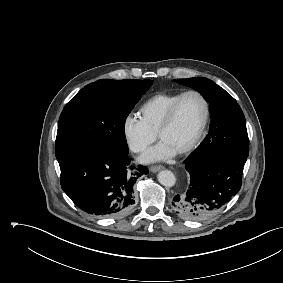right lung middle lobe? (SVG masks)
I'll list each match as a JSON object with an SVG mask.
<instances>
[{
	"instance_id": "obj_1",
	"label": "right lung middle lobe",
	"mask_w": 283,
	"mask_h": 283,
	"mask_svg": "<svg viewBox=\"0 0 283 283\" xmlns=\"http://www.w3.org/2000/svg\"><path fill=\"white\" fill-rule=\"evenodd\" d=\"M152 80L102 79L81 89L64 107L58 122V162L90 148L128 153L125 120Z\"/></svg>"
}]
</instances>
